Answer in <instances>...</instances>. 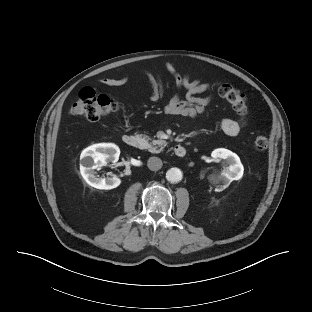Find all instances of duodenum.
<instances>
[{
  "mask_svg": "<svg viewBox=\"0 0 312 312\" xmlns=\"http://www.w3.org/2000/svg\"><path fill=\"white\" fill-rule=\"evenodd\" d=\"M122 140L128 147H135L138 144V140L133 134L124 135ZM173 150L174 154L178 157H183L186 154V148L183 145H176Z\"/></svg>",
  "mask_w": 312,
  "mask_h": 312,
  "instance_id": "duodenum-1",
  "label": "duodenum"
}]
</instances>
